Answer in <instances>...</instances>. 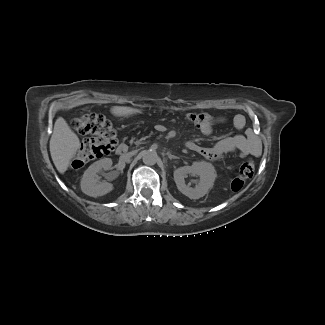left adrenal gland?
<instances>
[{
	"label": "left adrenal gland",
	"mask_w": 325,
	"mask_h": 325,
	"mask_svg": "<svg viewBox=\"0 0 325 325\" xmlns=\"http://www.w3.org/2000/svg\"><path fill=\"white\" fill-rule=\"evenodd\" d=\"M167 155H168V158H169L170 160H172V159H178V158H179V157L174 156V155H172V154H170V153H167Z\"/></svg>",
	"instance_id": "left-adrenal-gland-1"
}]
</instances>
